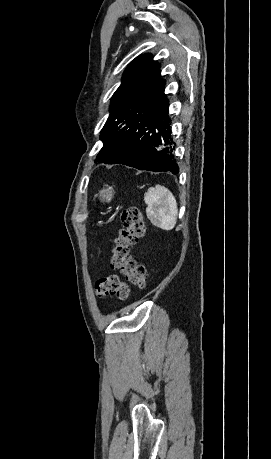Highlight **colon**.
Listing matches in <instances>:
<instances>
[{
    "label": "colon",
    "instance_id": "1",
    "mask_svg": "<svg viewBox=\"0 0 271 459\" xmlns=\"http://www.w3.org/2000/svg\"><path fill=\"white\" fill-rule=\"evenodd\" d=\"M121 229L115 239L112 252L111 267L120 271L125 279L133 286H145L147 270L131 255V248L140 240L145 232V220L138 208L124 209L120 216ZM98 297L116 296L121 300L128 298L129 286L115 274L100 278L95 285Z\"/></svg>",
    "mask_w": 271,
    "mask_h": 459
}]
</instances>
